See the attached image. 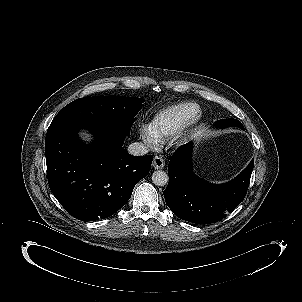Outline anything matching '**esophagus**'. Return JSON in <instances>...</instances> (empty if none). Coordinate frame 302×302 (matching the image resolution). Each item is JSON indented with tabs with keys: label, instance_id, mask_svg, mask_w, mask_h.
<instances>
[{
	"label": "esophagus",
	"instance_id": "esophagus-1",
	"mask_svg": "<svg viewBox=\"0 0 302 302\" xmlns=\"http://www.w3.org/2000/svg\"><path fill=\"white\" fill-rule=\"evenodd\" d=\"M165 165L164 159L161 156H155L152 166L154 169H162Z\"/></svg>",
	"mask_w": 302,
	"mask_h": 302
}]
</instances>
